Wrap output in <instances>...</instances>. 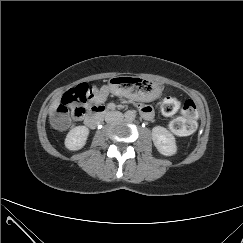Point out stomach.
<instances>
[{
    "mask_svg": "<svg viewBox=\"0 0 243 243\" xmlns=\"http://www.w3.org/2000/svg\"><path fill=\"white\" fill-rule=\"evenodd\" d=\"M109 85L112 91L137 100H152L161 92L157 82L133 76L114 77Z\"/></svg>",
    "mask_w": 243,
    "mask_h": 243,
    "instance_id": "obj_1",
    "label": "stomach"
}]
</instances>
